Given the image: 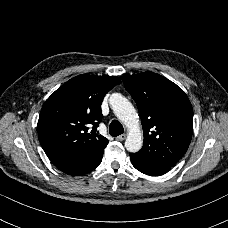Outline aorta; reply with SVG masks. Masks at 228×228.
Wrapping results in <instances>:
<instances>
[{"instance_id": "obj_1", "label": "aorta", "mask_w": 228, "mask_h": 228, "mask_svg": "<svg viewBox=\"0 0 228 228\" xmlns=\"http://www.w3.org/2000/svg\"><path fill=\"white\" fill-rule=\"evenodd\" d=\"M109 103L115 116L128 127L125 148L129 152H138L142 148L143 140L139 126V116L132 103L120 93H113Z\"/></svg>"}]
</instances>
